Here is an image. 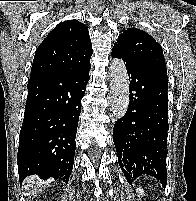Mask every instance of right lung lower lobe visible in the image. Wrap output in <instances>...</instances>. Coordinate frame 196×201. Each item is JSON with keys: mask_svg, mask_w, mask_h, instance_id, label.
<instances>
[{"mask_svg": "<svg viewBox=\"0 0 196 201\" xmlns=\"http://www.w3.org/2000/svg\"><path fill=\"white\" fill-rule=\"evenodd\" d=\"M91 65L29 79L17 154L20 182L37 174L68 183L74 163L81 98Z\"/></svg>", "mask_w": 196, "mask_h": 201, "instance_id": "1", "label": "right lung lower lobe"}]
</instances>
